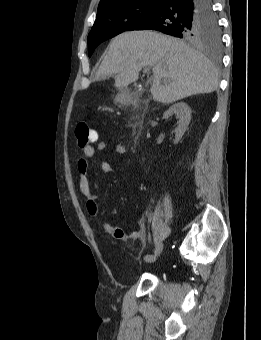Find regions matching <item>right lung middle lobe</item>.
I'll use <instances>...</instances> for the list:
<instances>
[{"instance_id":"dd1d6c3e","label":"right lung middle lobe","mask_w":261,"mask_h":340,"mask_svg":"<svg viewBox=\"0 0 261 340\" xmlns=\"http://www.w3.org/2000/svg\"><path fill=\"white\" fill-rule=\"evenodd\" d=\"M162 0L136 1L127 5L104 11L96 17L88 35V52L92 55L95 48L103 41L124 31H131L150 17ZM181 38L199 42L219 44L221 35L214 12L192 17L186 22Z\"/></svg>"}]
</instances>
